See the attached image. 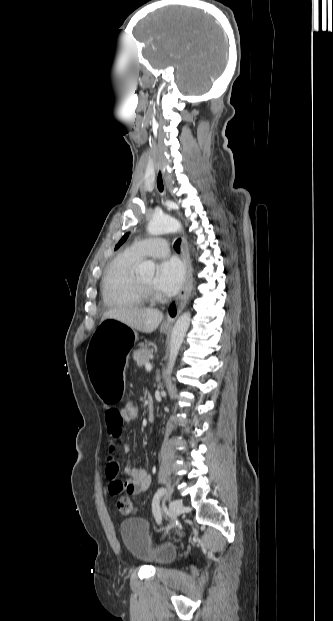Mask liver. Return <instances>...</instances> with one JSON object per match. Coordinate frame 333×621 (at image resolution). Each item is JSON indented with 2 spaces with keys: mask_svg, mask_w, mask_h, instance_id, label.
<instances>
[{
  "mask_svg": "<svg viewBox=\"0 0 333 621\" xmlns=\"http://www.w3.org/2000/svg\"><path fill=\"white\" fill-rule=\"evenodd\" d=\"M106 319L117 320L140 332L151 333L161 323L163 313L150 308H113L103 314L102 321Z\"/></svg>",
  "mask_w": 333,
  "mask_h": 621,
  "instance_id": "1",
  "label": "liver"
}]
</instances>
